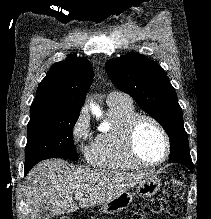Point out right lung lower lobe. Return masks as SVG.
I'll list each match as a JSON object with an SVG mask.
<instances>
[{"label": "right lung lower lobe", "mask_w": 211, "mask_h": 219, "mask_svg": "<svg viewBox=\"0 0 211 219\" xmlns=\"http://www.w3.org/2000/svg\"><path fill=\"white\" fill-rule=\"evenodd\" d=\"M29 170L27 168H25V174L28 172Z\"/></svg>", "instance_id": "1"}]
</instances>
